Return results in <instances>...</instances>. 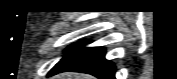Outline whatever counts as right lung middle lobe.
<instances>
[{
    "instance_id": "dd1d6c3e",
    "label": "right lung middle lobe",
    "mask_w": 177,
    "mask_h": 79,
    "mask_svg": "<svg viewBox=\"0 0 177 79\" xmlns=\"http://www.w3.org/2000/svg\"><path fill=\"white\" fill-rule=\"evenodd\" d=\"M81 44H82V42L73 44L70 47H68L66 51L67 52H72L73 50H75L76 48H78Z\"/></svg>"
}]
</instances>
